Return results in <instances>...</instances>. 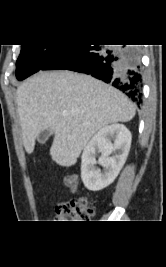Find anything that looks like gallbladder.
Instances as JSON below:
<instances>
[{"label":"gallbladder","instance_id":"obj_1","mask_svg":"<svg viewBox=\"0 0 166 267\" xmlns=\"http://www.w3.org/2000/svg\"><path fill=\"white\" fill-rule=\"evenodd\" d=\"M52 135V131L47 128L42 130L39 135L37 136V141L40 144H45V142L48 140V138Z\"/></svg>","mask_w":166,"mask_h":267}]
</instances>
